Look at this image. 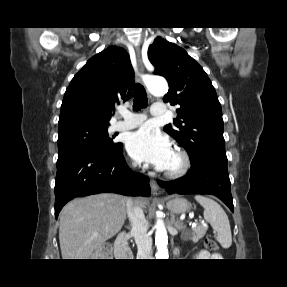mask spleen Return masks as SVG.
<instances>
[{
  "label": "spleen",
  "mask_w": 287,
  "mask_h": 287,
  "mask_svg": "<svg viewBox=\"0 0 287 287\" xmlns=\"http://www.w3.org/2000/svg\"><path fill=\"white\" fill-rule=\"evenodd\" d=\"M195 200L204 208V219L217 233V241L223 248H229L232 244V234L228 216L223 208L206 196L196 195Z\"/></svg>",
  "instance_id": "3e777b00"
}]
</instances>
